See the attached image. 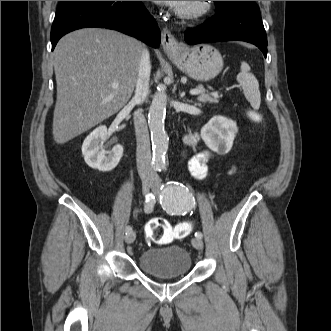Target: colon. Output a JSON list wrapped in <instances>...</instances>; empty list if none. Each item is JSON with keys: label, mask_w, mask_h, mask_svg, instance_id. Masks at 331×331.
I'll return each mask as SVG.
<instances>
[{"label": "colon", "mask_w": 331, "mask_h": 331, "mask_svg": "<svg viewBox=\"0 0 331 331\" xmlns=\"http://www.w3.org/2000/svg\"><path fill=\"white\" fill-rule=\"evenodd\" d=\"M254 120L259 121L257 114H252ZM192 227L188 222H182L176 226H171L162 218H154L146 225V236L157 244H166L173 239H181L191 233Z\"/></svg>", "instance_id": "1"}]
</instances>
